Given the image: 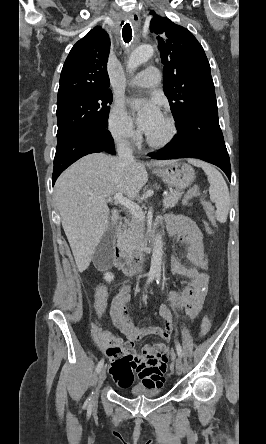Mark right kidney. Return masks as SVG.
Returning a JSON list of instances; mask_svg holds the SVG:
<instances>
[{
	"instance_id": "obj_1",
	"label": "right kidney",
	"mask_w": 266,
	"mask_h": 444,
	"mask_svg": "<svg viewBox=\"0 0 266 444\" xmlns=\"http://www.w3.org/2000/svg\"><path fill=\"white\" fill-rule=\"evenodd\" d=\"M104 279L110 283L114 279V275L110 272H106L104 274Z\"/></svg>"
}]
</instances>
